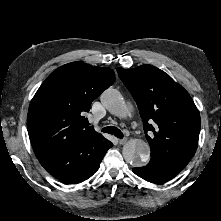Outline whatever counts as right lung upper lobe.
Listing matches in <instances>:
<instances>
[{
  "label": "right lung upper lobe",
  "instance_id": "obj_1",
  "mask_svg": "<svg viewBox=\"0 0 221 221\" xmlns=\"http://www.w3.org/2000/svg\"><path fill=\"white\" fill-rule=\"evenodd\" d=\"M115 81L114 71L81 62L51 73L33 97L27 129L37 158L76 141L99 135L86 124L91 103Z\"/></svg>",
  "mask_w": 221,
  "mask_h": 221
}]
</instances>
